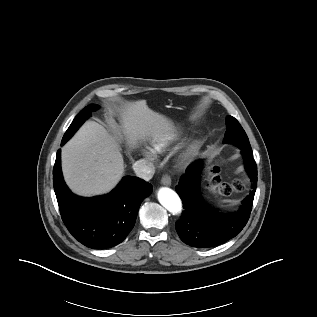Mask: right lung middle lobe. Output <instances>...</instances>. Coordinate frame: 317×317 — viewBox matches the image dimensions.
<instances>
[{"instance_id": "dd1d6c3e", "label": "right lung middle lobe", "mask_w": 317, "mask_h": 317, "mask_svg": "<svg viewBox=\"0 0 317 317\" xmlns=\"http://www.w3.org/2000/svg\"><path fill=\"white\" fill-rule=\"evenodd\" d=\"M99 108L96 104L86 106L80 113L75 117L69 128L67 129L62 140L67 141L81 126V124L91 115V112L96 111Z\"/></svg>"}]
</instances>
